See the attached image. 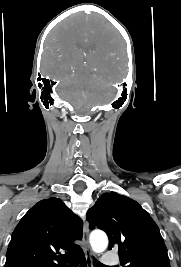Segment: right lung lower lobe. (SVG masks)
I'll return each instance as SVG.
<instances>
[{
    "mask_svg": "<svg viewBox=\"0 0 181 267\" xmlns=\"http://www.w3.org/2000/svg\"><path fill=\"white\" fill-rule=\"evenodd\" d=\"M76 260L80 263L79 267H87L86 259L83 254L77 257Z\"/></svg>",
    "mask_w": 181,
    "mask_h": 267,
    "instance_id": "98d812e1",
    "label": "right lung lower lobe"
}]
</instances>
